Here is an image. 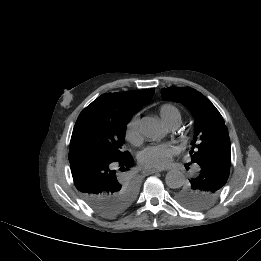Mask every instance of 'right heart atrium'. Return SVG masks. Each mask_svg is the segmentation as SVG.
<instances>
[{
  "label": "right heart atrium",
  "instance_id": "obj_1",
  "mask_svg": "<svg viewBox=\"0 0 261 261\" xmlns=\"http://www.w3.org/2000/svg\"><path fill=\"white\" fill-rule=\"evenodd\" d=\"M125 137L126 139L134 144L137 145L141 142V136L139 132V116L134 115L128 121L126 128H125Z\"/></svg>",
  "mask_w": 261,
  "mask_h": 261
}]
</instances>
